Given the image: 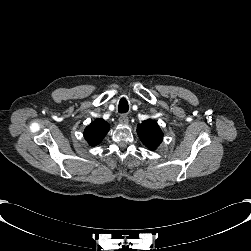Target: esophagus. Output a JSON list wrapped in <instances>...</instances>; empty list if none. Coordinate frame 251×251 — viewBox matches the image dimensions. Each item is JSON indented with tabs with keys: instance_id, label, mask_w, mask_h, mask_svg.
<instances>
[{
	"instance_id": "1",
	"label": "esophagus",
	"mask_w": 251,
	"mask_h": 251,
	"mask_svg": "<svg viewBox=\"0 0 251 251\" xmlns=\"http://www.w3.org/2000/svg\"><path fill=\"white\" fill-rule=\"evenodd\" d=\"M119 122L122 124V125H127L129 123V119L127 116L125 115H122L119 117Z\"/></svg>"
}]
</instances>
